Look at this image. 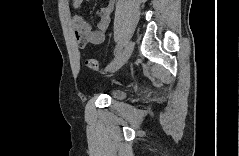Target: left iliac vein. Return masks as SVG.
<instances>
[{"label":"left iliac vein","instance_id":"1","mask_svg":"<svg viewBox=\"0 0 239 156\" xmlns=\"http://www.w3.org/2000/svg\"><path fill=\"white\" fill-rule=\"evenodd\" d=\"M134 49V42L133 41H129L121 55L120 60L118 61V63L113 66L112 68H110L109 70H107L110 74L115 73L119 68H121L126 62L127 60L130 58L132 52Z\"/></svg>","mask_w":239,"mask_h":156}]
</instances>
